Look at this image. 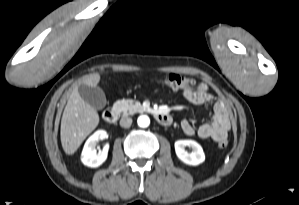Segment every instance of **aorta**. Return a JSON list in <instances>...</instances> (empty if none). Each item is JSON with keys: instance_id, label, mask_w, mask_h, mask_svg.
<instances>
[{"instance_id": "aorta-1", "label": "aorta", "mask_w": 299, "mask_h": 205, "mask_svg": "<svg viewBox=\"0 0 299 205\" xmlns=\"http://www.w3.org/2000/svg\"><path fill=\"white\" fill-rule=\"evenodd\" d=\"M137 123L140 127L145 128L148 127L150 124V119L146 115H141L138 117Z\"/></svg>"}]
</instances>
